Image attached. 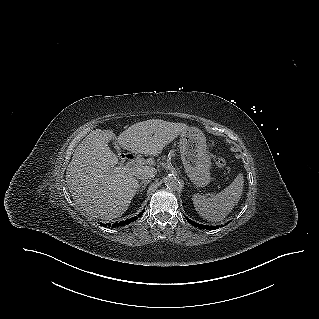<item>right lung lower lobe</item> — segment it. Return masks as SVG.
<instances>
[{
  "label": "right lung lower lobe",
  "instance_id": "right-lung-lower-lobe-1",
  "mask_svg": "<svg viewBox=\"0 0 319 319\" xmlns=\"http://www.w3.org/2000/svg\"><path fill=\"white\" fill-rule=\"evenodd\" d=\"M143 212H144V211L140 212L137 216H135V217H133V218H131V219H127V220L121 221V222H119V223H114V224H112V227L116 228V227H119V226L127 225V224H129V223H131V222L137 220L138 217H140V216L143 214ZM101 225H104L105 227H106V226H111L110 224H106V225H105V224H103V223H101Z\"/></svg>",
  "mask_w": 319,
  "mask_h": 319
}]
</instances>
